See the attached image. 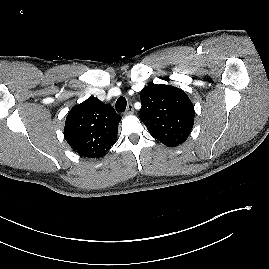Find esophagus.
Masks as SVG:
<instances>
[{"label":"esophagus","instance_id":"esophagus-1","mask_svg":"<svg viewBox=\"0 0 269 269\" xmlns=\"http://www.w3.org/2000/svg\"><path fill=\"white\" fill-rule=\"evenodd\" d=\"M133 113H134L133 105L132 104H128L127 105V108H126V111H125V114L130 115V114H133Z\"/></svg>","mask_w":269,"mask_h":269}]
</instances>
